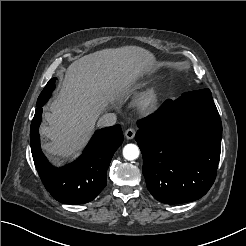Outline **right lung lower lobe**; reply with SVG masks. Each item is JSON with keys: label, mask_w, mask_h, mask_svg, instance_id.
I'll list each match as a JSON object with an SVG mask.
<instances>
[{"label": "right lung lower lobe", "mask_w": 246, "mask_h": 246, "mask_svg": "<svg viewBox=\"0 0 246 246\" xmlns=\"http://www.w3.org/2000/svg\"><path fill=\"white\" fill-rule=\"evenodd\" d=\"M42 106H38L30 128L31 151L38 174L47 191L64 204H83L95 199L107 184L106 172L113 154L123 142L119 124L97 130L83 154L73 163L56 168L40 148L38 128Z\"/></svg>", "instance_id": "obj_1"}]
</instances>
